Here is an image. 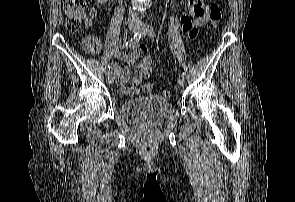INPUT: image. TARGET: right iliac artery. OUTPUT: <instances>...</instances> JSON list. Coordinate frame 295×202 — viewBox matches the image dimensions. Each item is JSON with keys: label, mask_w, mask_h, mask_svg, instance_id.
Listing matches in <instances>:
<instances>
[{"label": "right iliac artery", "mask_w": 295, "mask_h": 202, "mask_svg": "<svg viewBox=\"0 0 295 202\" xmlns=\"http://www.w3.org/2000/svg\"><path fill=\"white\" fill-rule=\"evenodd\" d=\"M141 36H142V34H141L140 31L136 32L134 34V36L128 42H126L124 44V46H126V47L127 46H129V47L135 46L139 42V40L141 39ZM110 68H111L110 66L107 67L106 74H109L110 73Z\"/></svg>", "instance_id": "1"}]
</instances>
